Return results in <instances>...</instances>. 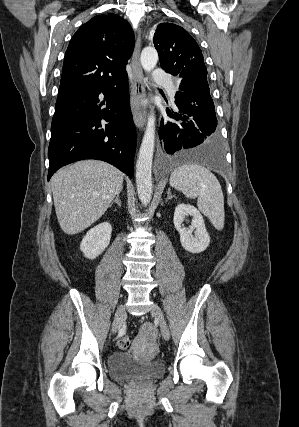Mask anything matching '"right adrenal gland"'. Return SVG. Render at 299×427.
Returning a JSON list of instances; mask_svg holds the SVG:
<instances>
[{"mask_svg":"<svg viewBox=\"0 0 299 427\" xmlns=\"http://www.w3.org/2000/svg\"><path fill=\"white\" fill-rule=\"evenodd\" d=\"M119 194H120V192H118V193L116 194V197H115V198H114V200L111 202L110 207L113 205V203H116V204H118V206H119V207H121V200H120V198H119Z\"/></svg>","mask_w":299,"mask_h":427,"instance_id":"1","label":"right adrenal gland"}]
</instances>
